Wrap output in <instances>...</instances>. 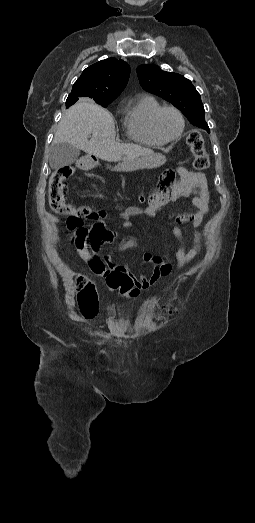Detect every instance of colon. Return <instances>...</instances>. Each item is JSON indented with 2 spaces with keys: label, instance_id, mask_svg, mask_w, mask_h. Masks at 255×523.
<instances>
[{
  "label": "colon",
  "instance_id": "obj_1",
  "mask_svg": "<svg viewBox=\"0 0 255 523\" xmlns=\"http://www.w3.org/2000/svg\"><path fill=\"white\" fill-rule=\"evenodd\" d=\"M186 143L194 157L193 166L196 170L202 171L209 166V157L205 150L203 136L198 131L189 132ZM74 168L65 166L57 168L50 179L49 185V205L53 212L68 216V219L76 223H82L84 218L97 220L99 214L87 206L76 207L66 202V181L73 175ZM107 284L118 289L121 294L135 297L139 294L140 288L128 275L120 272H110L106 275ZM78 292V304L82 315L85 318H92L98 311V298L95 286L90 277L80 274L75 280Z\"/></svg>",
  "mask_w": 255,
  "mask_h": 523
}]
</instances>
